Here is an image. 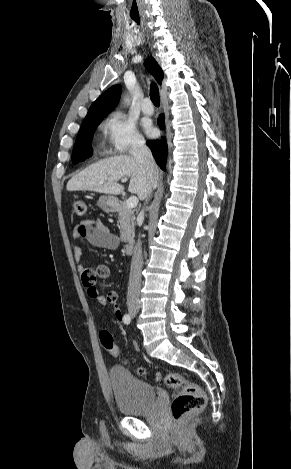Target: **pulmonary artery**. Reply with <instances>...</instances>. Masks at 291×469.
Instances as JSON below:
<instances>
[{
	"mask_svg": "<svg viewBox=\"0 0 291 469\" xmlns=\"http://www.w3.org/2000/svg\"><path fill=\"white\" fill-rule=\"evenodd\" d=\"M141 110L146 115H151L154 112L151 100L149 98H145L141 105Z\"/></svg>",
	"mask_w": 291,
	"mask_h": 469,
	"instance_id": "pulmonary-artery-1",
	"label": "pulmonary artery"
}]
</instances>
